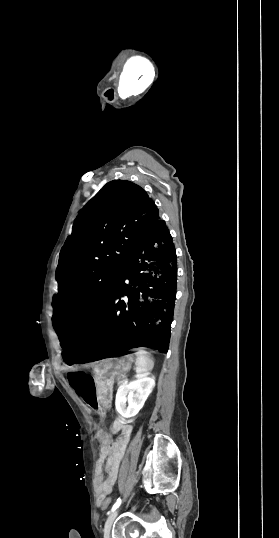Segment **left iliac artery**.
I'll return each mask as SVG.
<instances>
[{
  "label": "left iliac artery",
  "mask_w": 279,
  "mask_h": 538,
  "mask_svg": "<svg viewBox=\"0 0 279 538\" xmlns=\"http://www.w3.org/2000/svg\"><path fill=\"white\" fill-rule=\"evenodd\" d=\"M121 501H122V500H121L120 498L117 499V501L115 502V504L113 505V507H112V509H111L112 512L115 511V510L120 506Z\"/></svg>",
  "instance_id": "44dca946"
}]
</instances>
